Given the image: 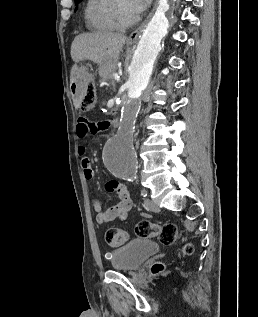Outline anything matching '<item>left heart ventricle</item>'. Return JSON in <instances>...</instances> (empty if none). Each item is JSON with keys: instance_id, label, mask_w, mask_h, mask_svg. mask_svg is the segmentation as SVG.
Segmentation results:
<instances>
[{"instance_id": "b2bd125f", "label": "left heart ventricle", "mask_w": 258, "mask_h": 317, "mask_svg": "<svg viewBox=\"0 0 258 317\" xmlns=\"http://www.w3.org/2000/svg\"><path fill=\"white\" fill-rule=\"evenodd\" d=\"M134 14V10L133 9H130V8H126L123 10V18L128 21L131 19L132 15Z\"/></svg>"}]
</instances>
